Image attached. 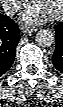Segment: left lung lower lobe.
Wrapping results in <instances>:
<instances>
[{"label": "left lung lower lobe", "mask_w": 63, "mask_h": 107, "mask_svg": "<svg viewBox=\"0 0 63 107\" xmlns=\"http://www.w3.org/2000/svg\"><path fill=\"white\" fill-rule=\"evenodd\" d=\"M56 30V48L52 56V63L54 67L63 73V22L55 27Z\"/></svg>", "instance_id": "obj_1"}]
</instances>
